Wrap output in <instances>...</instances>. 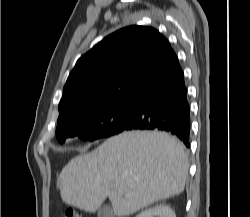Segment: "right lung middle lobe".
<instances>
[{
	"mask_svg": "<svg viewBox=\"0 0 250 217\" xmlns=\"http://www.w3.org/2000/svg\"><path fill=\"white\" fill-rule=\"evenodd\" d=\"M135 107V100L128 99L82 110L57 123L56 137L62 144L69 137L93 141L118 134L132 120Z\"/></svg>",
	"mask_w": 250,
	"mask_h": 217,
	"instance_id": "1",
	"label": "right lung middle lobe"
}]
</instances>
